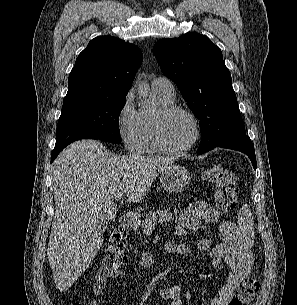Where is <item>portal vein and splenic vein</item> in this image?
Segmentation results:
<instances>
[{"instance_id": "obj_1", "label": "portal vein and splenic vein", "mask_w": 297, "mask_h": 305, "mask_svg": "<svg viewBox=\"0 0 297 305\" xmlns=\"http://www.w3.org/2000/svg\"><path fill=\"white\" fill-rule=\"evenodd\" d=\"M121 198H122V193L118 192V193L114 194L115 200H121Z\"/></svg>"}]
</instances>
